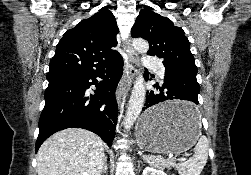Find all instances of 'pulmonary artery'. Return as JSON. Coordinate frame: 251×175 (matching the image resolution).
<instances>
[{
	"instance_id": "1",
	"label": "pulmonary artery",
	"mask_w": 251,
	"mask_h": 175,
	"mask_svg": "<svg viewBox=\"0 0 251 175\" xmlns=\"http://www.w3.org/2000/svg\"><path fill=\"white\" fill-rule=\"evenodd\" d=\"M141 62L144 63L146 70H158L157 74L163 78L166 65H162V62H158V58H152V55H143Z\"/></svg>"
}]
</instances>
